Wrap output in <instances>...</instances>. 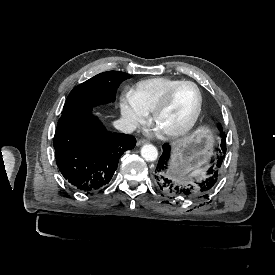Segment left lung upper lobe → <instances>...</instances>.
Here are the masks:
<instances>
[{"label":"left lung upper lobe","instance_id":"5c2ea615","mask_svg":"<svg viewBox=\"0 0 275 275\" xmlns=\"http://www.w3.org/2000/svg\"><path fill=\"white\" fill-rule=\"evenodd\" d=\"M219 128L221 129V126H219ZM221 137H222V141H221V149L224 152L225 148H226V140H225V135L223 133H221Z\"/></svg>","mask_w":275,"mask_h":275}]
</instances>
